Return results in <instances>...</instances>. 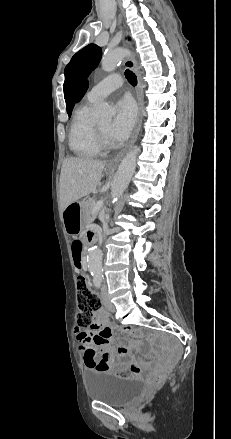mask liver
<instances>
[{"mask_svg": "<svg viewBox=\"0 0 231 439\" xmlns=\"http://www.w3.org/2000/svg\"><path fill=\"white\" fill-rule=\"evenodd\" d=\"M104 167V162L89 158L70 157L63 161L60 174L62 210L96 190Z\"/></svg>", "mask_w": 231, "mask_h": 439, "instance_id": "liver-1", "label": "liver"}]
</instances>
